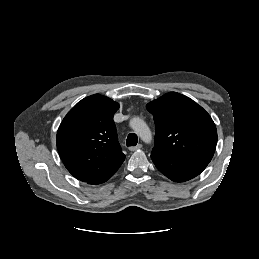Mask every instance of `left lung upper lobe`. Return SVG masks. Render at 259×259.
Instances as JSON below:
<instances>
[{"instance_id":"1","label":"left lung upper lobe","mask_w":259,"mask_h":259,"mask_svg":"<svg viewBox=\"0 0 259 259\" xmlns=\"http://www.w3.org/2000/svg\"><path fill=\"white\" fill-rule=\"evenodd\" d=\"M155 122L152 151L178 160L210 162L217 130L210 115L192 99L170 92L147 104Z\"/></svg>"}]
</instances>
